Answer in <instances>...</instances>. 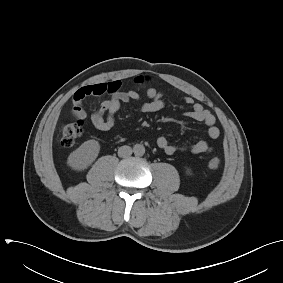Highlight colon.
<instances>
[{"label":"colon","instance_id":"5ec220e1","mask_svg":"<svg viewBox=\"0 0 283 283\" xmlns=\"http://www.w3.org/2000/svg\"><path fill=\"white\" fill-rule=\"evenodd\" d=\"M138 82H142V79H138ZM83 124L81 121H75L70 123H65L60 127V140L61 144L65 147H70L74 145L76 140L82 134ZM221 160L219 158H210L207 162V166L211 170H216L220 167Z\"/></svg>","mask_w":283,"mask_h":283}]
</instances>
